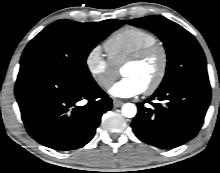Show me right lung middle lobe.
Segmentation results:
<instances>
[{
	"label": "right lung middle lobe",
	"mask_w": 220,
	"mask_h": 173,
	"mask_svg": "<svg viewBox=\"0 0 220 173\" xmlns=\"http://www.w3.org/2000/svg\"><path fill=\"white\" fill-rule=\"evenodd\" d=\"M123 24L116 19L96 23L58 20L29 42L21 57L20 72L44 71L76 82L90 81L88 54Z\"/></svg>",
	"instance_id": "1"
}]
</instances>
